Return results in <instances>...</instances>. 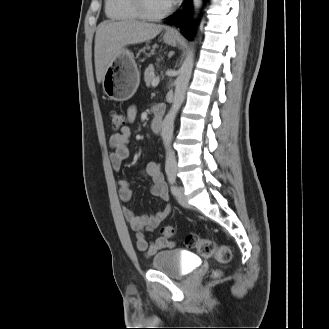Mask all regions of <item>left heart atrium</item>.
I'll use <instances>...</instances> for the list:
<instances>
[{"mask_svg":"<svg viewBox=\"0 0 329 329\" xmlns=\"http://www.w3.org/2000/svg\"><path fill=\"white\" fill-rule=\"evenodd\" d=\"M166 1L169 4V6H171L177 2V0H166Z\"/></svg>","mask_w":329,"mask_h":329,"instance_id":"1","label":"left heart atrium"}]
</instances>
